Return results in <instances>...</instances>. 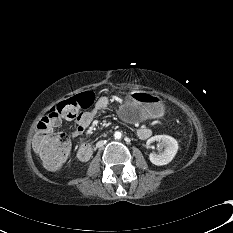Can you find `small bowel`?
I'll use <instances>...</instances> for the list:
<instances>
[{"label": "small bowel", "mask_w": 233, "mask_h": 233, "mask_svg": "<svg viewBox=\"0 0 233 233\" xmlns=\"http://www.w3.org/2000/svg\"><path fill=\"white\" fill-rule=\"evenodd\" d=\"M108 105L109 99L102 96L96 100L94 106L89 111L80 112L75 116H62L58 113L56 109H54L50 111L46 116H44L41 121L44 120L47 127L50 130H54L61 125L63 119L74 120L76 123V127L70 132V135L73 137H77L85 132V130L92 123L94 118L104 112L107 109ZM151 134L152 131L147 126H141L137 130V135L140 139H147L151 136Z\"/></svg>", "instance_id": "1"}]
</instances>
